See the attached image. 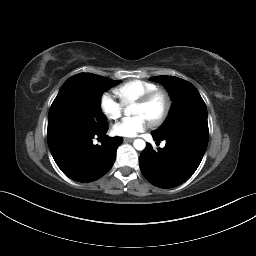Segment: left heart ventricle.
<instances>
[{"mask_svg": "<svg viewBox=\"0 0 256 256\" xmlns=\"http://www.w3.org/2000/svg\"><path fill=\"white\" fill-rule=\"evenodd\" d=\"M164 102L161 98L155 99L150 105L142 106V105H135L134 108V115H143L148 120L157 117L163 110Z\"/></svg>", "mask_w": 256, "mask_h": 256, "instance_id": "obj_1", "label": "left heart ventricle"}]
</instances>
